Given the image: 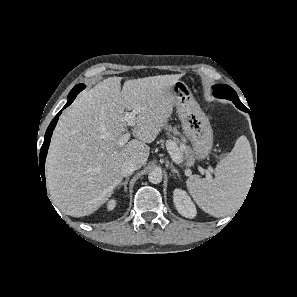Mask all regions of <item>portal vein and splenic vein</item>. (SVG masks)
I'll return each instance as SVG.
<instances>
[{
  "label": "portal vein and splenic vein",
  "mask_w": 297,
  "mask_h": 297,
  "mask_svg": "<svg viewBox=\"0 0 297 297\" xmlns=\"http://www.w3.org/2000/svg\"><path fill=\"white\" fill-rule=\"evenodd\" d=\"M137 114L138 112L136 110H133L132 112H127L124 116V120L127 121L130 126H134L135 118ZM129 139H130V133L127 132L118 139V144L120 146H124ZM166 148L175 163L179 164L183 161V158L176 152L177 148L172 141H167ZM203 172H205L208 177H211L209 171H203ZM189 174H190V170L187 171V175Z\"/></svg>",
  "instance_id": "1"
}]
</instances>
